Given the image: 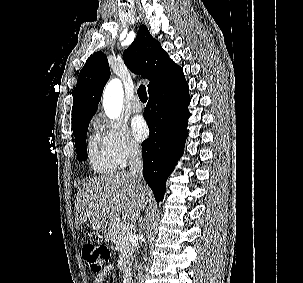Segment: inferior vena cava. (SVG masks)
I'll use <instances>...</instances> for the list:
<instances>
[{"mask_svg":"<svg viewBox=\"0 0 303 283\" xmlns=\"http://www.w3.org/2000/svg\"><path fill=\"white\" fill-rule=\"evenodd\" d=\"M129 169V174L131 176L137 178L142 177V153L138 145H131L129 148ZM134 283H143L140 268H138V275L135 277Z\"/></svg>","mask_w":303,"mask_h":283,"instance_id":"obj_1","label":"inferior vena cava"}]
</instances>
